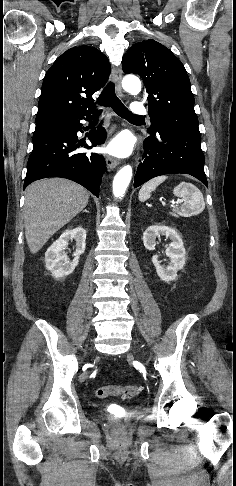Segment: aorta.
<instances>
[{"label": "aorta", "instance_id": "obj_1", "mask_svg": "<svg viewBox=\"0 0 236 486\" xmlns=\"http://www.w3.org/2000/svg\"><path fill=\"white\" fill-rule=\"evenodd\" d=\"M123 88L129 93H139L141 91V82L135 76H126L122 81ZM132 178V167L126 165L121 168L113 180V194L116 198L124 196L126 189Z\"/></svg>", "mask_w": 236, "mask_h": 486}]
</instances>
